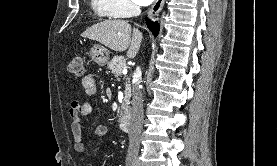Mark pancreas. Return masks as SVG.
Returning a JSON list of instances; mask_svg holds the SVG:
<instances>
[{"mask_svg":"<svg viewBox=\"0 0 277 166\" xmlns=\"http://www.w3.org/2000/svg\"><path fill=\"white\" fill-rule=\"evenodd\" d=\"M126 68V60L123 56H115L108 64V69L112 71L115 77H119L122 75V70ZM129 88L130 85L128 84ZM129 91V90H127ZM130 112V106L128 102V96L125 97V103L121 108V115H128Z\"/></svg>","mask_w":277,"mask_h":166,"instance_id":"pancreas-1","label":"pancreas"}]
</instances>
